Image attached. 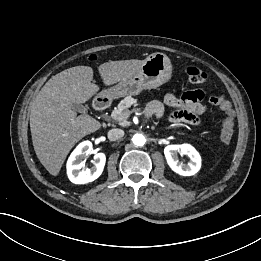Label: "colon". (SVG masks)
<instances>
[{"label":"colon","instance_id":"5ec220e1","mask_svg":"<svg viewBox=\"0 0 261 261\" xmlns=\"http://www.w3.org/2000/svg\"><path fill=\"white\" fill-rule=\"evenodd\" d=\"M95 58V55L90 56V60H95ZM186 74L189 81L193 84L203 83L207 78L206 72L195 66H189L186 69ZM210 102L214 105L219 106L220 109L223 111L224 118L221 124L220 142L223 145H227L230 143L234 132V113L232 106L222 94L212 95L210 97Z\"/></svg>","mask_w":261,"mask_h":261}]
</instances>
